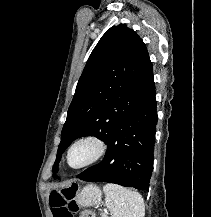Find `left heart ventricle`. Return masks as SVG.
<instances>
[{"label":"left heart ventricle","instance_id":"b2bd125f","mask_svg":"<svg viewBox=\"0 0 211 217\" xmlns=\"http://www.w3.org/2000/svg\"><path fill=\"white\" fill-rule=\"evenodd\" d=\"M95 146L92 143H81L73 148L70 154V163L79 166L88 161L95 153Z\"/></svg>","mask_w":211,"mask_h":217}]
</instances>
